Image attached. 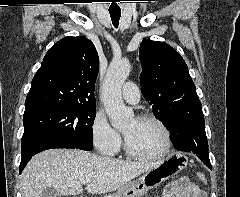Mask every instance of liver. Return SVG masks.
Wrapping results in <instances>:
<instances>
[{"label": "liver", "instance_id": "obj_1", "mask_svg": "<svg viewBox=\"0 0 240 197\" xmlns=\"http://www.w3.org/2000/svg\"><path fill=\"white\" fill-rule=\"evenodd\" d=\"M160 162L117 160L77 149H53L34 156L21 174L22 197H42L46 188L64 196L86 191L105 194L118 190L137 176L158 166Z\"/></svg>", "mask_w": 240, "mask_h": 197}]
</instances>
